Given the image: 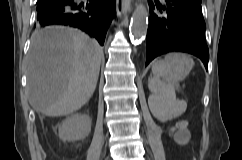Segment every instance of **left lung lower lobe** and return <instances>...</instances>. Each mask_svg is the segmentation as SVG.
<instances>
[{"mask_svg":"<svg viewBox=\"0 0 242 160\" xmlns=\"http://www.w3.org/2000/svg\"><path fill=\"white\" fill-rule=\"evenodd\" d=\"M149 10L146 65L161 54L180 51L199 57L207 69L209 50L201 2L149 0Z\"/></svg>","mask_w":242,"mask_h":160,"instance_id":"left-lung-lower-lobe-1","label":"left lung lower lobe"}]
</instances>
